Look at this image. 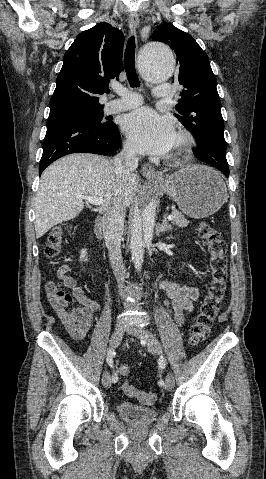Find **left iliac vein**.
I'll return each mask as SVG.
<instances>
[{"label":"left iliac vein","mask_w":266,"mask_h":479,"mask_svg":"<svg viewBox=\"0 0 266 479\" xmlns=\"http://www.w3.org/2000/svg\"><path fill=\"white\" fill-rule=\"evenodd\" d=\"M129 334L134 335L138 339L143 340L146 343L147 349L154 355H160L162 353V346L157 338L148 330L143 328L129 327L127 328ZM174 377L171 373H168L165 379V389L171 391L174 388Z\"/></svg>","instance_id":"1"}]
</instances>
